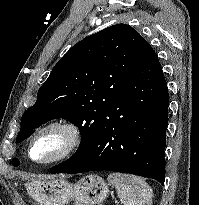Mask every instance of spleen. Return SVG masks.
I'll return each mask as SVG.
<instances>
[{"instance_id":"1","label":"spleen","mask_w":199,"mask_h":205,"mask_svg":"<svg viewBox=\"0 0 199 205\" xmlns=\"http://www.w3.org/2000/svg\"><path fill=\"white\" fill-rule=\"evenodd\" d=\"M107 179L117 189L118 197L124 201V205H152V188L142 178L111 173Z\"/></svg>"}]
</instances>
